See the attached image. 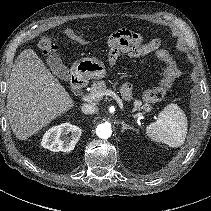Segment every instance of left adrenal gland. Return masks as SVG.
I'll return each instance as SVG.
<instances>
[{"label": "left adrenal gland", "instance_id": "obj_1", "mask_svg": "<svg viewBox=\"0 0 211 211\" xmlns=\"http://www.w3.org/2000/svg\"><path fill=\"white\" fill-rule=\"evenodd\" d=\"M121 125H122V132H124L127 129L133 130L135 131V129L133 127H130L128 124H126L124 121H121Z\"/></svg>", "mask_w": 211, "mask_h": 211}]
</instances>
